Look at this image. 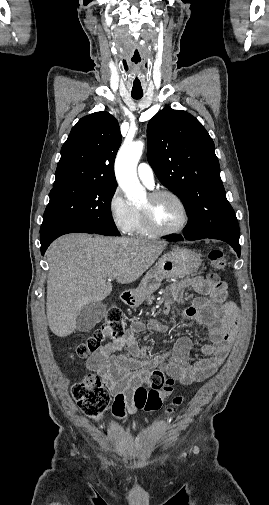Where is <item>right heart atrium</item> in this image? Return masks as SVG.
<instances>
[{"label":"right heart atrium","mask_w":269,"mask_h":505,"mask_svg":"<svg viewBox=\"0 0 269 505\" xmlns=\"http://www.w3.org/2000/svg\"><path fill=\"white\" fill-rule=\"evenodd\" d=\"M108 213L113 225L120 232L128 233L130 231L134 210L119 187L114 188L108 199Z\"/></svg>","instance_id":"d8ad5b80"}]
</instances>
